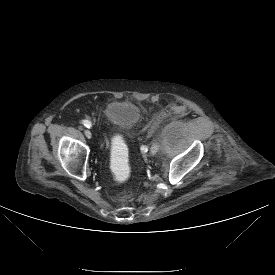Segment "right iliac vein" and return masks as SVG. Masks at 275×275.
Here are the masks:
<instances>
[{
    "mask_svg": "<svg viewBox=\"0 0 275 275\" xmlns=\"http://www.w3.org/2000/svg\"><path fill=\"white\" fill-rule=\"evenodd\" d=\"M84 134H85V136L87 137V138H91L92 137V134H91V132L89 131V130H85L84 131Z\"/></svg>",
    "mask_w": 275,
    "mask_h": 275,
    "instance_id": "right-iliac-vein-1",
    "label": "right iliac vein"
}]
</instances>
